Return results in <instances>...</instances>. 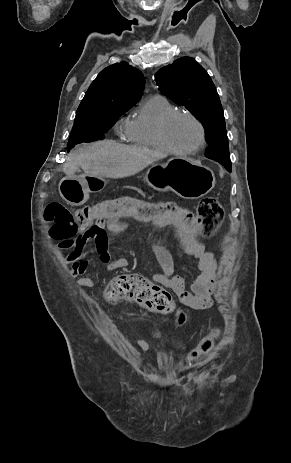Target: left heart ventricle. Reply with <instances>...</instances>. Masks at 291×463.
Wrapping results in <instances>:
<instances>
[{
	"instance_id": "b2bd125f",
	"label": "left heart ventricle",
	"mask_w": 291,
	"mask_h": 463,
	"mask_svg": "<svg viewBox=\"0 0 291 463\" xmlns=\"http://www.w3.org/2000/svg\"><path fill=\"white\" fill-rule=\"evenodd\" d=\"M167 136L171 144L176 148L189 149L198 143L200 131L191 119L179 116L169 124Z\"/></svg>"
}]
</instances>
